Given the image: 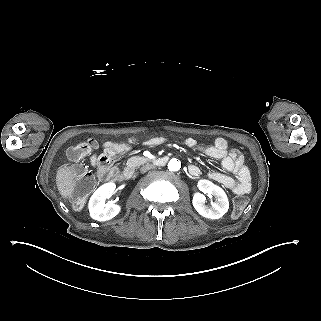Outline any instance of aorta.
<instances>
[{
    "mask_svg": "<svg viewBox=\"0 0 321 321\" xmlns=\"http://www.w3.org/2000/svg\"><path fill=\"white\" fill-rule=\"evenodd\" d=\"M180 168H181V162L178 159L173 158L169 161L168 169L170 171H178Z\"/></svg>",
    "mask_w": 321,
    "mask_h": 321,
    "instance_id": "obj_1",
    "label": "aorta"
}]
</instances>
